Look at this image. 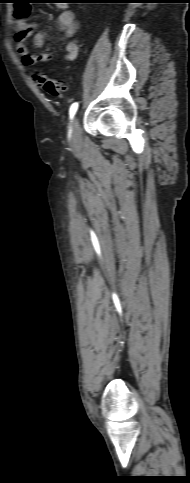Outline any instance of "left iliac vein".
Here are the masks:
<instances>
[{"instance_id":"obj_1","label":"left iliac vein","mask_w":190,"mask_h":483,"mask_svg":"<svg viewBox=\"0 0 190 483\" xmlns=\"http://www.w3.org/2000/svg\"><path fill=\"white\" fill-rule=\"evenodd\" d=\"M81 140V130L80 124L77 117H75L72 121V129H71V137L70 141L72 144H77Z\"/></svg>"}]
</instances>
